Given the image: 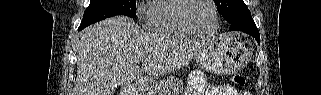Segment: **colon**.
<instances>
[{
    "instance_id": "obj_1",
    "label": "colon",
    "mask_w": 321,
    "mask_h": 95,
    "mask_svg": "<svg viewBox=\"0 0 321 95\" xmlns=\"http://www.w3.org/2000/svg\"><path fill=\"white\" fill-rule=\"evenodd\" d=\"M232 82L237 86H243L245 84V77L241 74H234L232 76Z\"/></svg>"
}]
</instances>
